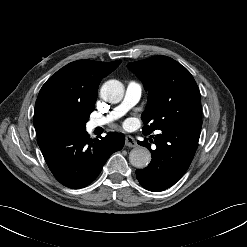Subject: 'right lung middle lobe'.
<instances>
[{
	"mask_svg": "<svg viewBox=\"0 0 247 247\" xmlns=\"http://www.w3.org/2000/svg\"><path fill=\"white\" fill-rule=\"evenodd\" d=\"M90 112L68 108H50L46 110L38 124L39 132L55 130L60 132H76L85 129Z\"/></svg>",
	"mask_w": 247,
	"mask_h": 247,
	"instance_id": "1",
	"label": "right lung middle lobe"
}]
</instances>
